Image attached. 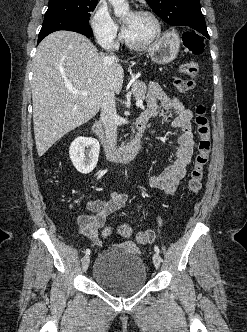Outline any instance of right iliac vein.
I'll return each instance as SVG.
<instances>
[{
	"label": "right iliac vein",
	"mask_w": 247,
	"mask_h": 332,
	"mask_svg": "<svg viewBox=\"0 0 247 332\" xmlns=\"http://www.w3.org/2000/svg\"><path fill=\"white\" fill-rule=\"evenodd\" d=\"M90 264V257L89 255H86L83 259H82V268L83 271L86 272V270L88 269Z\"/></svg>",
	"instance_id": "right-iliac-vein-1"
}]
</instances>
